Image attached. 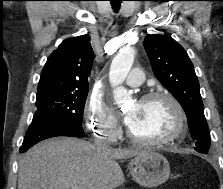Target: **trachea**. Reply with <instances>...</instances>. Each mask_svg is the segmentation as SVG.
Listing matches in <instances>:
<instances>
[{"instance_id":"trachea-1","label":"trachea","mask_w":223,"mask_h":189,"mask_svg":"<svg viewBox=\"0 0 223 189\" xmlns=\"http://www.w3.org/2000/svg\"><path fill=\"white\" fill-rule=\"evenodd\" d=\"M114 10H118L122 0H110Z\"/></svg>"}]
</instances>
